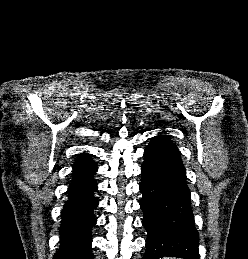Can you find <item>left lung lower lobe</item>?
<instances>
[{
    "label": "left lung lower lobe",
    "mask_w": 248,
    "mask_h": 259,
    "mask_svg": "<svg viewBox=\"0 0 248 259\" xmlns=\"http://www.w3.org/2000/svg\"><path fill=\"white\" fill-rule=\"evenodd\" d=\"M141 175L142 223L148 232L144 259H198V232L179 150L151 140L144 151Z\"/></svg>",
    "instance_id": "0a47b994"
}]
</instances>
